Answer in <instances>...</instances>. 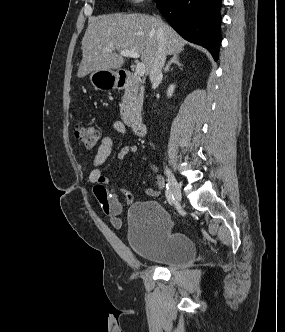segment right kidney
Returning <instances> with one entry per match:
<instances>
[{"instance_id": "obj_1", "label": "right kidney", "mask_w": 285, "mask_h": 332, "mask_svg": "<svg viewBox=\"0 0 285 332\" xmlns=\"http://www.w3.org/2000/svg\"><path fill=\"white\" fill-rule=\"evenodd\" d=\"M174 89H175V85H173V84H171V85L168 87V90H167V95H168V97H171V96L173 95Z\"/></svg>"}]
</instances>
